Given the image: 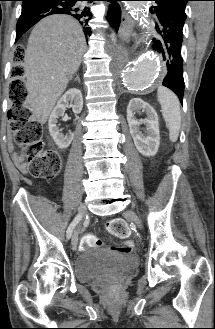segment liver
Returning <instances> with one entry per match:
<instances>
[{
    "label": "liver",
    "mask_w": 215,
    "mask_h": 329,
    "mask_svg": "<svg viewBox=\"0 0 215 329\" xmlns=\"http://www.w3.org/2000/svg\"><path fill=\"white\" fill-rule=\"evenodd\" d=\"M86 48L77 20L51 15L32 30L24 57L27 102L38 122L44 124L56 101L80 67Z\"/></svg>",
    "instance_id": "6515ba94"
}]
</instances>
